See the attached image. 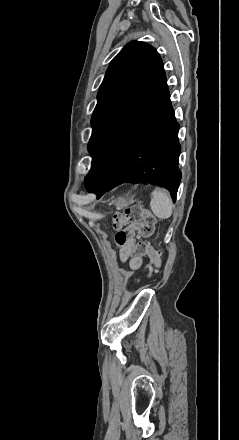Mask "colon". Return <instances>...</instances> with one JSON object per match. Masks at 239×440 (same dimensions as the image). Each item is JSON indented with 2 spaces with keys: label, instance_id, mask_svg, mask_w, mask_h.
Instances as JSON below:
<instances>
[{
  "label": "colon",
  "instance_id": "1",
  "mask_svg": "<svg viewBox=\"0 0 239 440\" xmlns=\"http://www.w3.org/2000/svg\"><path fill=\"white\" fill-rule=\"evenodd\" d=\"M112 224L117 231L115 239L118 245H125L136 235L148 238L152 235L155 227L154 216L140 205L128 207L123 214H116L112 218ZM133 256H147L156 267L161 266V254L146 241H139L133 247Z\"/></svg>",
  "mask_w": 239,
  "mask_h": 440
}]
</instances>
